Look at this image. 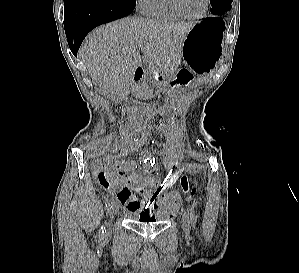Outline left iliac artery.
<instances>
[{"instance_id": "left-iliac-artery-1", "label": "left iliac artery", "mask_w": 299, "mask_h": 273, "mask_svg": "<svg viewBox=\"0 0 299 273\" xmlns=\"http://www.w3.org/2000/svg\"><path fill=\"white\" fill-rule=\"evenodd\" d=\"M190 217H191V222H192V224L193 225H195V223H196V218H195V215H194V213L191 211V213H190Z\"/></svg>"}]
</instances>
